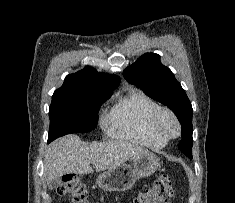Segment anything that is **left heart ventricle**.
Segmentation results:
<instances>
[{
    "mask_svg": "<svg viewBox=\"0 0 235 203\" xmlns=\"http://www.w3.org/2000/svg\"><path fill=\"white\" fill-rule=\"evenodd\" d=\"M160 126L163 130L168 131V132H172L175 129V125L169 117H164L161 120Z\"/></svg>",
    "mask_w": 235,
    "mask_h": 203,
    "instance_id": "obj_1",
    "label": "left heart ventricle"
}]
</instances>
